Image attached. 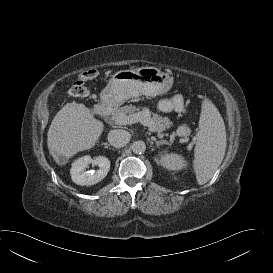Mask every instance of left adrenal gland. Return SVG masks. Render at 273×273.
I'll return each instance as SVG.
<instances>
[{
  "label": "left adrenal gland",
  "mask_w": 273,
  "mask_h": 273,
  "mask_svg": "<svg viewBox=\"0 0 273 273\" xmlns=\"http://www.w3.org/2000/svg\"><path fill=\"white\" fill-rule=\"evenodd\" d=\"M167 142L166 141H158V140H155V144L157 147H160L161 145H164L166 144Z\"/></svg>",
  "instance_id": "left-adrenal-gland-1"
}]
</instances>
